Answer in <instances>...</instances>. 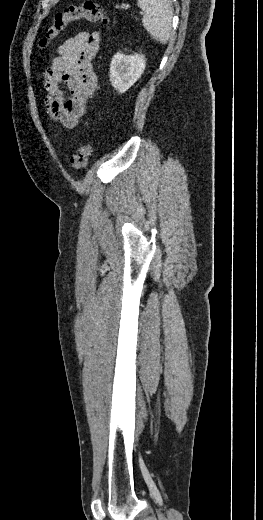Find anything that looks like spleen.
<instances>
[{
	"mask_svg": "<svg viewBox=\"0 0 263 520\" xmlns=\"http://www.w3.org/2000/svg\"><path fill=\"white\" fill-rule=\"evenodd\" d=\"M137 5L144 11L142 23L150 35L162 44H166L172 31V4L170 0H137Z\"/></svg>",
	"mask_w": 263,
	"mask_h": 520,
	"instance_id": "obj_1",
	"label": "spleen"
}]
</instances>
